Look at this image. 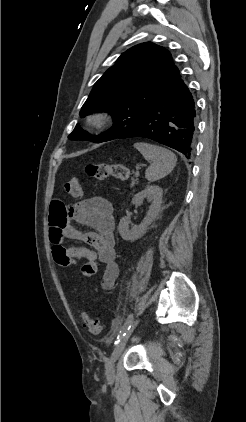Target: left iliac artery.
Returning <instances> with one entry per match:
<instances>
[{"label": "left iliac artery", "instance_id": "left-iliac-artery-1", "mask_svg": "<svg viewBox=\"0 0 246 422\" xmlns=\"http://www.w3.org/2000/svg\"><path fill=\"white\" fill-rule=\"evenodd\" d=\"M132 321H133V314H130V315L127 317V319H126V321H125V323H124L123 327L121 328V330H120V332H119V334H118V336H117V338H116L115 344H117V343L119 342L120 337H121L122 335H125V331H126L127 329H129V328H130V325H131Z\"/></svg>", "mask_w": 246, "mask_h": 422}]
</instances>
